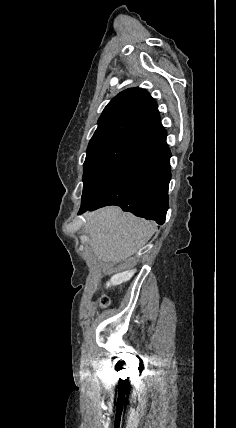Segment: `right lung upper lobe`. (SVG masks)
<instances>
[{"label": "right lung upper lobe", "instance_id": "obj_1", "mask_svg": "<svg viewBox=\"0 0 236 428\" xmlns=\"http://www.w3.org/2000/svg\"><path fill=\"white\" fill-rule=\"evenodd\" d=\"M162 128L157 104L150 94L142 88L124 90L103 110L87 156L126 142H143Z\"/></svg>", "mask_w": 236, "mask_h": 428}]
</instances>
